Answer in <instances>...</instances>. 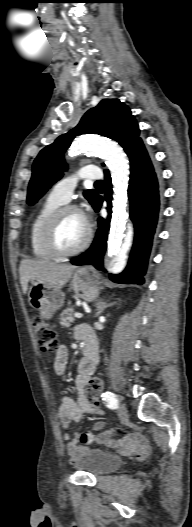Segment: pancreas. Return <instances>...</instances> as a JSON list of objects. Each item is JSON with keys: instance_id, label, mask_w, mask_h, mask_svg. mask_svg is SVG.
I'll return each instance as SVG.
<instances>
[{"instance_id": "cf45deb5", "label": "pancreas", "mask_w": 192, "mask_h": 527, "mask_svg": "<svg viewBox=\"0 0 192 527\" xmlns=\"http://www.w3.org/2000/svg\"><path fill=\"white\" fill-rule=\"evenodd\" d=\"M73 312V308H66L62 311V313L60 314V324L62 326H69L71 323L74 322L75 318L73 317Z\"/></svg>"}]
</instances>
